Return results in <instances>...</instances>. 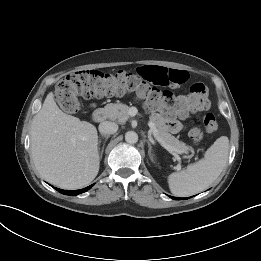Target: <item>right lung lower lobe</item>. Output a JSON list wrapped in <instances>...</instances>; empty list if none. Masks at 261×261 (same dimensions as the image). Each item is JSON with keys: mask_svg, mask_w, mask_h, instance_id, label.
Instances as JSON below:
<instances>
[{"mask_svg": "<svg viewBox=\"0 0 261 261\" xmlns=\"http://www.w3.org/2000/svg\"><path fill=\"white\" fill-rule=\"evenodd\" d=\"M92 187V185L84 188V189H80V190H72V191H69V190H62V189H59V188H55L58 192L62 193V194H66V195H71V196H75V195H78L80 193H83V192H86L87 190H89L90 188Z\"/></svg>", "mask_w": 261, "mask_h": 261, "instance_id": "1", "label": "right lung lower lobe"}]
</instances>
